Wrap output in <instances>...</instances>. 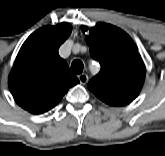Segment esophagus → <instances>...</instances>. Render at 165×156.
I'll return each instance as SVG.
<instances>
[{
    "label": "esophagus",
    "mask_w": 165,
    "mask_h": 156,
    "mask_svg": "<svg viewBox=\"0 0 165 156\" xmlns=\"http://www.w3.org/2000/svg\"><path fill=\"white\" fill-rule=\"evenodd\" d=\"M78 79L81 84H86L88 82V75L87 74H80Z\"/></svg>",
    "instance_id": "1"
}]
</instances>
